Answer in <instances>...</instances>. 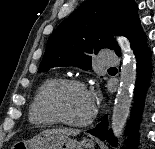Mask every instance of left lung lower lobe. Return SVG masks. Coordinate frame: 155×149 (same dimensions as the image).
I'll list each match as a JSON object with an SVG mask.
<instances>
[{"label":"left lung lower lobe","mask_w":155,"mask_h":149,"mask_svg":"<svg viewBox=\"0 0 155 149\" xmlns=\"http://www.w3.org/2000/svg\"><path fill=\"white\" fill-rule=\"evenodd\" d=\"M131 48L134 51L137 60V81H136V95L135 107L132 111L131 122L128 129L129 138L126 141L127 149H137L138 144V126L141 120L144 97L149 85L151 74L150 55L151 52L146 44V36L140 28L130 39ZM121 50H117L116 54L120 55ZM91 135L98 137L101 140H107L111 145H116L115 138L112 131H108L107 116L94 129L88 131Z\"/></svg>","instance_id":"0a47b994"}]
</instances>
